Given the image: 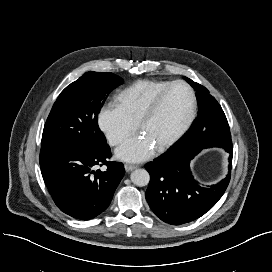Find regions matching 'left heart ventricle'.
Wrapping results in <instances>:
<instances>
[{
    "label": "left heart ventricle",
    "instance_id": "b2bd125f",
    "mask_svg": "<svg viewBox=\"0 0 272 272\" xmlns=\"http://www.w3.org/2000/svg\"><path fill=\"white\" fill-rule=\"evenodd\" d=\"M190 108V98L182 86L172 88L160 108L141 129L155 147L168 140L184 123Z\"/></svg>",
    "mask_w": 272,
    "mask_h": 272
}]
</instances>
